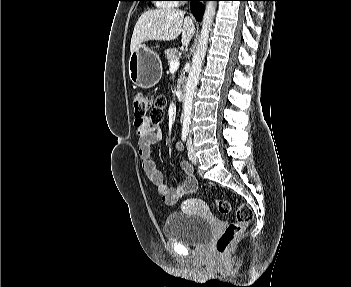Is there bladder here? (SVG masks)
<instances>
[{
  "instance_id": "bladder-1",
  "label": "bladder",
  "mask_w": 351,
  "mask_h": 287,
  "mask_svg": "<svg viewBox=\"0 0 351 287\" xmlns=\"http://www.w3.org/2000/svg\"><path fill=\"white\" fill-rule=\"evenodd\" d=\"M213 228L214 222L206 215L192 217V214L173 212L165 220L163 235L183 245L198 246L211 237Z\"/></svg>"
}]
</instances>
